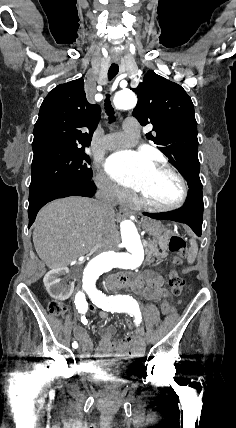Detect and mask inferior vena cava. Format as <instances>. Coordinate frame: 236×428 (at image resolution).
<instances>
[{"label": "inferior vena cava", "instance_id": "obj_1", "mask_svg": "<svg viewBox=\"0 0 236 428\" xmlns=\"http://www.w3.org/2000/svg\"><path fill=\"white\" fill-rule=\"evenodd\" d=\"M97 188L98 192L95 194L96 198L100 200V202H97V208L99 210H102V212H114L112 202H114V190H116V186L110 182V180H107V178H102V180H98L97 182ZM95 241L92 243V246L94 247V253L93 256L95 257L96 254H99L101 250L105 249H99L101 246L100 236H95Z\"/></svg>", "mask_w": 236, "mask_h": 428}]
</instances>
